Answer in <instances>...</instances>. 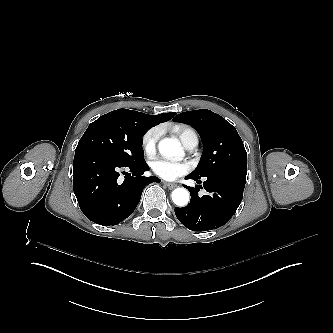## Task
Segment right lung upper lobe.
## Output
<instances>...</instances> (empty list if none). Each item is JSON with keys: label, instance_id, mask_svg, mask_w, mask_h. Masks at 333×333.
Instances as JSON below:
<instances>
[{"label": "right lung upper lobe", "instance_id": "right-lung-upper-lobe-1", "mask_svg": "<svg viewBox=\"0 0 333 333\" xmlns=\"http://www.w3.org/2000/svg\"><path fill=\"white\" fill-rule=\"evenodd\" d=\"M115 111L131 115L137 119L144 121L148 126L151 127L170 120L176 114V113H162L159 115H147L138 111H132L128 109H118Z\"/></svg>", "mask_w": 333, "mask_h": 333}]
</instances>
